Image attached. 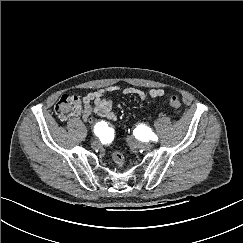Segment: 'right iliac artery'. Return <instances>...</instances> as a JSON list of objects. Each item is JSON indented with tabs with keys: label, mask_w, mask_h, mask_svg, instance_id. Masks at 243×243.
<instances>
[{
	"label": "right iliac artery",
	"mask_w": 243,
	"mask_h": 243,
	"mask_svg": "<svg viewBox=\"0 0 243 243\" xmlns=\"http://www.w3.org/2000/svg\"><path fill=\"white\" fill-rule=\"evenodd\" d=\"M105 128H106L105 125H97V126L95 127V129H94L95 134H96L97 136L102 135L103 132H104V129H105Z\"/></svg>",
	"instance_id": "right-iliac-artery-1"
}]
</instances>
